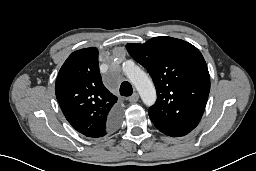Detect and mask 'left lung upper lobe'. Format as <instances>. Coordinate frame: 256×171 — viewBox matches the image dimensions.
<instances>
[{
    "label": "left lung upper lobe",
    "mask_w": 256,
    "mask_h": 171,
    "mask_svg": "<svg viewBox=\"0 0 256 171\" xmlns=\"http://www.w3.org/2000/svg\"><path fill=\"white\" fill-rule=\"evenodd\" d=\"M129 54L151 75L157 101L149 116L161 132L179 137L199 123L210 91V76L200 51L192 44L166 36L144 44H127Z\"/></svg>",
    "instance_id": "5c2ea615"
}]
</instances>
